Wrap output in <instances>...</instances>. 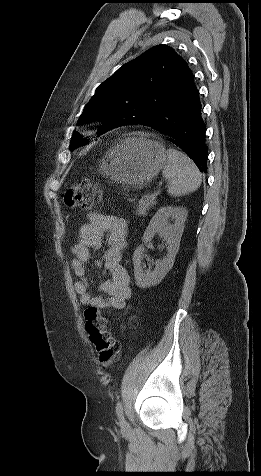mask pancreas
I'll return each mask as SVG.
<instances>
[{
    "label": "pancreas",
    "instance_id": "1",
    "mask_svg": "<svg viewBox=\"0 0 261 476\" xmlns=\"http://www.w3.org/2000/svg\"><path fill=\"white\" fill-rule=\"evenodd\" d=\"M156 204L155 200L151 198V195L143 196L139 201L136 208V214L139 216L147 215L148 211Z\"/></svg>",
    "mask_w": 261,
    "mask_h": 476
}]
</instances>
